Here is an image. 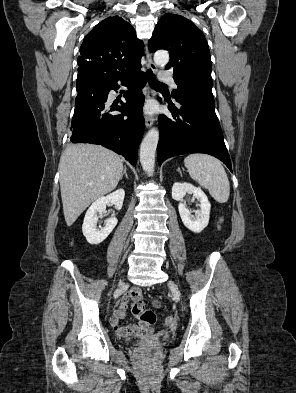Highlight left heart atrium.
Here are the masks:
<instances>
[{
    "instance_id": "1",
    "label": "left heart atrium",
    "mask_w": 296,
    "mask_h": 393,
    "mask_svg": "<svg viewBox=\"0 0 296 393\" xmlns=\"http://www.w3.org/2000/svg\"><path fill=\"white\" fill-rule=\"evenodd\" d=\"M146 109H147V111L151 112V111L154 110V106H153V105H148V106L146 107Z\"/></svg>"
}]
</instances>
